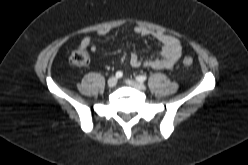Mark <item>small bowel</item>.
I'll return each mask as SVG.
<instances>
[{
  "label": "small bowel",
  "instance_id": "small-bowel-1",
  "mask_svg": "<svg viewBox=\"0 0 248 165\" xmlns=\"http://www.w3.org/2000/svg\"><path fill=\"white\" fill-rule=\"evenodd\" d=\"M108 29H101L97 32L98 37L105 36L108 34ZM134 32L143 37H153L155 38L160 44L162 45L161 53L159 58H152V59H141L139 55L135 52L131 53L129 56V64L132 68H141V67H149L152 69H172L176 63L179 61L182 48L180 41L169 34L162 33L159 31H155L146 27L137 26L134 29ZM92 38L91 36H85L81 40V46L85 48L91 49L93 53L97 51L96 46H91Z\"/></svg>",
  "mask_w": 248,
  "mask_h": 165
}]
</instances>
